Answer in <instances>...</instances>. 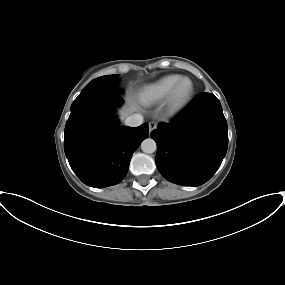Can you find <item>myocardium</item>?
<instances>
[{"instance_id": "1", "label": "myocardium", "mask_w": 285, "mask_h": 285, "mask_svg": "<svg viewBox=\"0 0 285 285\" xmlns=\"http://www.w3.org/2000/svg\"><path fill=\"white\" fill-rule=\"evenodd\" d=\"M188 81L190 83V90L185 96H180V88L182 84ZM195 94V85L192 79L182 77L172 89L166 101V108L169 113L175 114L185 109L193 100Z\"/></svg>"}]
</instances>
